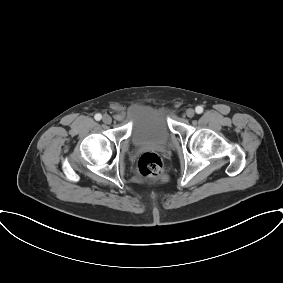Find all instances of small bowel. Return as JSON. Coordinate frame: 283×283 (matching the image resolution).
I'll return each instance as SVG.
<instances>
[{
    "mask_svg": "<svg viewBox=\"0 0 283 283\" xmlns=\"http://www.w3.org/2000/svg\"><path fill=\"white\" fill-rule=\"evenodd\" d=\"M123 114H124L123 111H119V112H118V117H122Z\"/></svg>",
    "mask_w": 283,
    "mask_h": 283,
    "instance_id": "c3829d8e",
    "label": "small bowel"
}]
</instances>
